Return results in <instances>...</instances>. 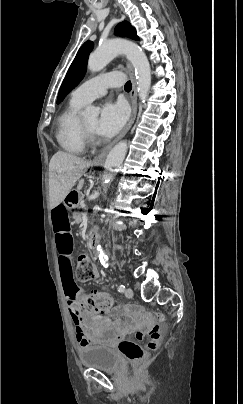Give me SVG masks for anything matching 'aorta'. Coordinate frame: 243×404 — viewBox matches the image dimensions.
<instances>
[{"label": "aorta", "mask_w": 243, "mask_h": 404, "mask_svg": "<svg viewBox=\"0 0 243 404\" xmlns=\"http://www.w3.org/2000/svg\"><path fill=\"white\" fill-rule=\"evenodd\" d=\"M121 54L126 56L131 66H133L137 78L138 96L142 102H145L148 98L151 86L150 64L144 52H142L141 48H139L137 44H134V42H129V40H106V42H102V44L96 48L95 52H92L89 56L88 70H90V72H100L111 60H114L116 56H121ZM81 116H83L87 122H92V120L98 118L99 110L98 108H94V106H88V108H85V110L81 112ZM127 152V140L119 142V144H116L111 152H109L102 173V178L105 183L108 184L114 181V170L120 168ZM97 250L100 260L106 262V258L100 246H97Z\"/></svg>", "instance_id": "aorta-1"}]
</instances>
